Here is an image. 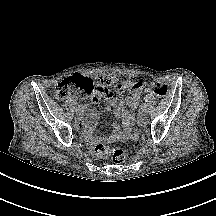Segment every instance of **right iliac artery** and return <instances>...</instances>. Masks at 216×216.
<instances>
[{"label": "right iliac artery", "instance_id": "obj_1", "mask_svg": "<svg viewBox=\"0 0 216 216\" xmlns=\"http://www.w3.org/2000/svg\"><path fill=\"white\" fill-rule=\"evenodd\" d=\"M77 112H78V113H81V112H82V109L80 108V105L78 106Z\"/></svg>", "mask_w": 216, "mask_h": 216}]
</instances>
